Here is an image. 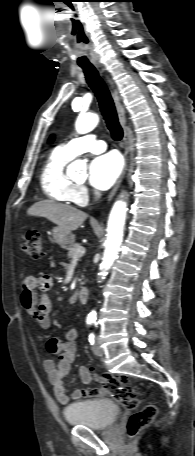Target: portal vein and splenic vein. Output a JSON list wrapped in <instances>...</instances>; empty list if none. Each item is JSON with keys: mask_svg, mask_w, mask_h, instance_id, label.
I'll return each instance as SVG.
<instances>
[{"mask_svg": "<svg viewBox=\"0 0 195 456\" xmlns=\"http://www.w3.org/2000/svg\"><path fill=\"white\" fill-rule=\"evenodd\" d=\"M85 253V248L80 246L78 249H77V256H82L83 254Z\"/></svg>", "mask_w": 195, "mask_h": 456, "instance_id": "portal-vein-and-splenic-vein-1", "label": "portal vein and splenic vein"}]
</instances>
